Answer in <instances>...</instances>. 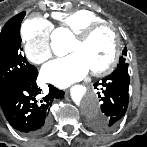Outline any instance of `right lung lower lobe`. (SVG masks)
I'll list each match as a JSON object with an SVG mask.
<instances>
[{"instance_id": "obj_1", "label": "right lung lower lobe", "mask_w": 147, "mask_h": 147, "mask_svg": "<svg viewBox=\"0 0 147 147\" xmlns=\"http://www.w3.org/2000/svg\"><path fill=\"white\" fill-rule=\"evenodd\" d=\"M38 71L31 77L0 88V105L10 125L17 131L35 136L49 127V107L64 92L49 85V93L40 98L36 84Z\"/></svg>"}]
</instances>
